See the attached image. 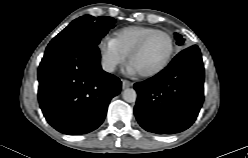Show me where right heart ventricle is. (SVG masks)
I'll use <instances>...</instances> for the list:
<instances>
[{
	"instance_id": "e07e8e85",
	"label": "right heart ventricle",
	"mask_w": 248,
	"mask_h": 158,
	"mask_svg": "<svg viewBox=\"0 0 248 158\" xmlns=\"http://www.w3.org/2000/svg\"><path fill=\"white\" fill-rule=\"evenodd\" d=\"M154 30V28L146 26H128L115 31L112 40L127 56L142 37Z\"/></svg>"
}]
</instances>
